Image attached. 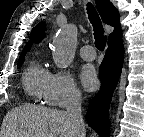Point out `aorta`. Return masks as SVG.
<instances>
[{
  "label": "aorta",
  "mask_w": 144,
  "mask_h": 137,
  "mask_svg": "<svg viewBox=\"0 0 144 137\" xmlns=\"http://www.w3.org/2000/svg\"><path fill=\"white\" fill-rule=\"evenodd\" d=\"M77 27L73 24L63 29L53 41V60L57 67L66 68L75 56Z\"/></svg>",
  "instance_id": "obj_1"
}]
</instances>
